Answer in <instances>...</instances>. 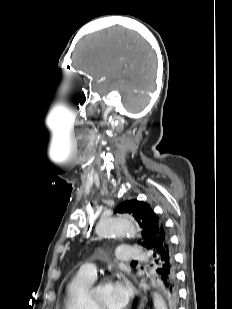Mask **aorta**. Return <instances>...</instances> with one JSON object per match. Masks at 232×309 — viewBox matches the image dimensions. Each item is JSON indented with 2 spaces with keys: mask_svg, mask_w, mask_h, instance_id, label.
Wrapping results in <instances>:
<instances>
[{
  "mask_svg": "<svg viewBox=\"0 0 232 309\" xmlns=\"http://www.w3.org/2000/svg\"><path fill=\"white\" fill-rule=\"evenodd\" d=\"M137 227L132 219L124 216L111 217L99 223L97 233L100 236L111 237L122 234L135 235ZM153 305L155 309H167V305L158 293H153Z\"/></svg>",
  "mask_w": 232,
  "mask_h": 309,
  "instance_id": "aorta-1",
  "label": "aorta"
}]
</instances>
